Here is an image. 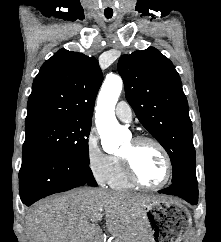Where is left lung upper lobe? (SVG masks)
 <instances>
[{
  "label": "left lung upper lobe",
  "instance_id": "left-lung-upper-lobe-1",
  "mask_svg": "<svg viewBox=\"0 0 221 242\" xmlns=\"http://www.w3.org/2000/svg\"><path fill=\"white\" fill-rule=\"evenodd\" d=\"M118 71L125 96L142 125L169 154L172 182L195 172V148L187 98L172 62L149 47L123 55Z\"/></svg>",
  "mask_w": 221,
  "mask_h": 242
}]
</instances>
